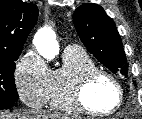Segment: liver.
<instances>
[{
	"mask_svg": "<svg viewBox=\"0 0 142 119\" xmlns=\"http://www.w3.org/2000/svg\"><path fill=\"white\" fill-rule=\"evenodd\" d=\"M68 116L47 111H25L15 114H0V119H68Z\"/></svg>",
	"mask_w": 142,
	"mask_h": 119,
	"instance_id": "obj_1",
	"label": "liver"
}]
</instances>
